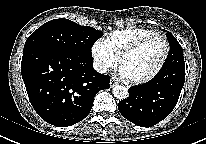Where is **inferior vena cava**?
Listing matches in <instances>:
<instances>
[{"label": "inferior vena cava", "instance_id": "obj_1", "mask_svg": "<svg viewBox=\"0 0 206 144\" xmlns=\"http://www.w3.org/2000/svg\"><path fill=\"white\" fill-rule=\"evenodd\" d=\"M93 67L97 72H99L101 74H103L107 71V67L105 65H102V64H99V63H94Z\"/></svg>", "mask_w": 206, "mask_h": 144}]
</instances>
